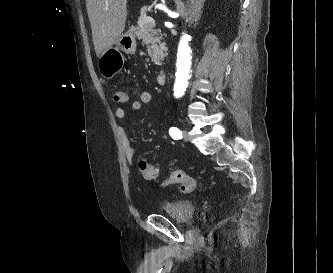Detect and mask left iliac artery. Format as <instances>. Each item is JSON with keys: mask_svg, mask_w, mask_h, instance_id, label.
Wrapping results in <instances>:
<instances>
[{"mask_svg": "<svg viewBox=\"0 0 333 273\" xmlns=\"http://www.w3.org/2000/svg\"><path fill=\"white\" fill-rule=\"evenodd\" d=\"M169 134L174 140L182 139V132L177 127H171L169 129Z\"/></svg>", "mask_w": 333, "mask_h": 273, "instance_id": "44dca946", "label": "left iliac artery"}]
</instances>
